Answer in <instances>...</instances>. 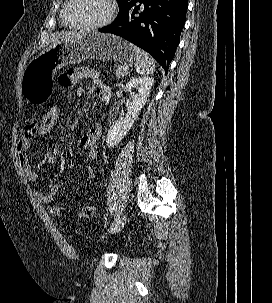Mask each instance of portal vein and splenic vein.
<instances>
[{
  "mask_svg": "<svg viewBox=\"0 0 272 303\" xmlns=\"http://www.w3.org/2000/svg\"><path fill=\"white\" fill-rule=\"evenodd\" d=\"M124 69L126 70V69H129V67L128 66H124Z\"/></svg>",
  "mask_w": 272,
  "mask_h": 303,
  "instance_id": "1",
  "label": "portal vein and splenic vein"
}]
</instances>
